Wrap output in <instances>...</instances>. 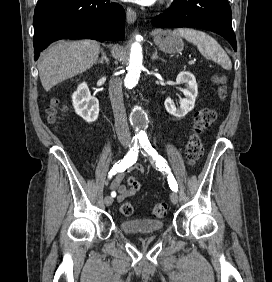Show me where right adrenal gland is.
<instances>
[{"label":"right adrenal gland","mask_w":272,"mask_h":282,"mask_svg":"<svg viewBox=\"0 0 272 282\" xmlns=\"http://www.w3.org/2000/svg\"><path fill=\"white\" fill-rule=\"evenodd\" d=\"M104 61H105V63H109V59H108V57L106 56V53H105V51H104V49L103 48H101V57L98 59V63H104Z\"/></svg>","instance_id":"2a0ac1e0"}]
</instances>
